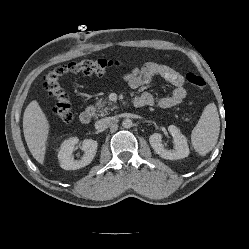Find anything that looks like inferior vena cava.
Returning a JSON list of instances; mask_svg holds the SVG:
<instances>
[{
  "mask_svg": "<svg viewBox=\"0 0 249 249\" xmlns=\"http://www.w3.org/2000/svg\"><path fill=\"white\" fill-rule=\"evenodd\" d=\"M110 121H111L110 117L102 118V119L95 122V128L101 129V128L105 127L106 125H108L110 123Z\"/></svg>",
  "mask_w": 249,
  "mask_h": 249,
  "instance_id": "inferior-vena-cava-1",
  "label": "inferior vena cava"
}]
</instances>
